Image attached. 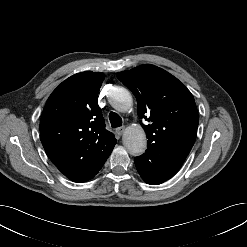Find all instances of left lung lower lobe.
I'll return each instance as SVG.
<instances>
[{"label":"left lung lower lobe","instance_id":"1","mask_svg":"<svg viewBox=\"0 0 247 247\" xmlns=\"http://www.w3.org/2000/svg\"><path fill=\"white\" fill-rule=\"evenodd\" d=\"M189 152L178 146L160 150L152 148L136 157L134 162L137 171L146 183L158 185L176 174Z\"/></svg>","mask_w":247,"mask_h":247}]
</instances>
